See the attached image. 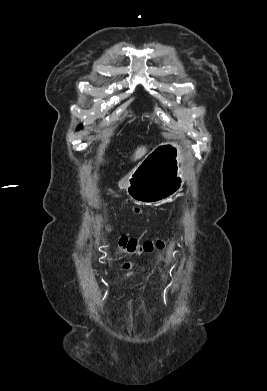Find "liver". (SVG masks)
Segmentation results:
<instances>
[{"instance_id":"obj_1","label":"liver","mask_w":267,"mask_h":391,"mask_svg":"<svg viewBox=\"0 0 267 391\" xmlns=\"http://www.w3.org/2000/svg\"><path fill=\"white\" fill-rule=\"evenodd\" d=\"M147 149L146 147H139L136 151H135V154L133 156V160H138L140 158H142V156L146 153Z\"/></svg>"}]
</instances>
